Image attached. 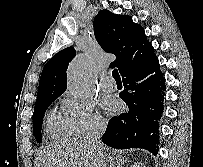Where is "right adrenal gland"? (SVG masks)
Returning <instances> with one entry per match:
<instances>
[{"mask_svg": "<svg viewBox=\"0 0 203 167\" xmlns=\"http://www.w3.org/2000/svg\"><path fill=\"white\" fill-rule=\"evenodd\" d=\"M126 163H127V159L124 160L122 163H118L116 167H124Z\"/></svg>", "mask_w": 203, "mask_h": 167, "instance_id": "right-adrenal-gland-1", "label": "right adrenal gland"}]
</instances>
